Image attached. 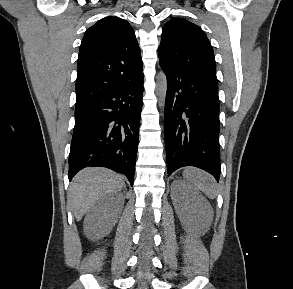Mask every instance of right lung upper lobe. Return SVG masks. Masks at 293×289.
<instances>
[{"label":"right lung upper lobe","mask_w":293,"mask_h":289,"mask_svg":"<svg viewBox=\"0 0 293 289\" xmlns=\"http://www.w3.org/2000/svg\"><path fill=\"white\" fill-rule=\"evenodd\" d=\"M140 53L134 30L126 20L110 16L90 27L80 45L75 107L142 77Z\"/></svg>","instance_id":"right-lung-upper-lobe-1"}]
</instances>
